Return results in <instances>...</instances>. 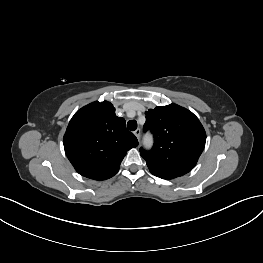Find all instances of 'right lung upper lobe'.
<instances>
[{
  "label": "right lung upper lobe",
  "instance_id": "obj_1",
  "mask_svg": "<svg viewBox=\"0 0 263 263\" xmlns=\"http://www.w3.org/2000/svg\"><path fill=\"white\" fill-rule=\"evenodd\" d=\"M137 138L117 117L110 102L95 101L77 111L64 135L65 153L84 177L106 180L114 176Z\"/></svg>",
  "mask_w": 263,
  "mask_h": 263
}]
</instances>
